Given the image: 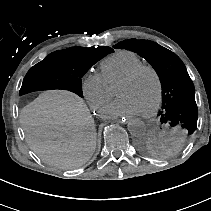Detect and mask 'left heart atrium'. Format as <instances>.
<instances>
[{
	"instance_id": "39dd6f15",
	"label": "left heart atrium",
	"mask_w": 211,
	"mask_h": 211,
	"mask_svg": "<svg viewBox=\"0 0 211 211\" xmlns=\"http://www.w3.org/2000/svg\"><path fill=\"white\" fill-rule=\"evenodd\" d=\"M101 114L107 118H115L119 116L139 115L141 112L129 98L120 97L109 103Z\"/></svg>"
}]
</instances>
